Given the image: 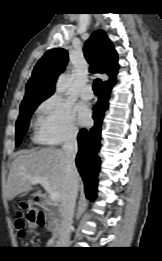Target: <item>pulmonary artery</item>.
<instances>
[{"instance_id":"e3ab8cb5","label":"pulmonary artery","mask_w":162,"mask_h":261,"mask_svg":"<svg viewBox=\"0 0 162 261\" xmlns=\"http://www.w3.org/2000/svg\"><path fill=\"white\" fill-rule=\"evenodd\" d=\"M79 95L83 99H91L94 95L91 85L83 86L79 92Z\"/></svg>"}]
</instances>
